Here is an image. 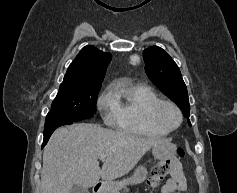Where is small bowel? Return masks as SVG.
I'll use <instances>...</instances> for the list:
<instances>
[{
  "label": "small bowel",
  "mask_w": 237,
  "mask_h": 193,
  "mask_svg": "<svg viewBox=\"0 0 237 193\" xmlns=\"http://www.w3.org/2000/svg\"><path fill=\"white\" fill-rule=\"evenodd\" d=\"M171 178L163 185L161 193H183L187 189V181L182 167L176 159H171Z\"/></svg>",
  "instance_id": "obj_1"
}]
</instances>
